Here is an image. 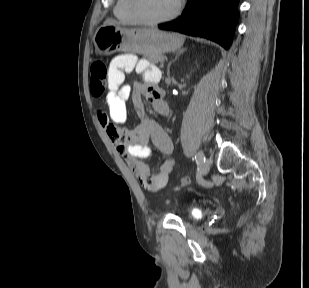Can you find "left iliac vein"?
I'll return each instance as SVG.
<instances>
[{"instance_id": "1", "label": "left iliac vein", "mask_w": 309, "mask_h": 288, "mask_svg": "<svg viewBox=\"0 0 309 288\" xmlns=\"http://www.w3.org/2000/svg\"><path fill=\"white\" fill-rule=\"evenodd\" d=\"M210 166H211L210 159H206L205 162L202 163V167H201L202 173L207 174L208 171L210 170Z\"/></svg>"}]
</instances>
